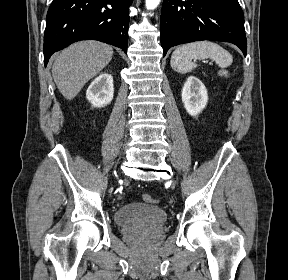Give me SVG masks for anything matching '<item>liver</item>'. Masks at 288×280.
<instances>
[{
	"instance_id": "6515ba94",
	"label": "liver",
	"mask_w": 288,
	"mask_h": 280,
	"mask_svg": "<svg viewBox=\"0 0 288 280\" xmlns=\"http://www.w3.org/2000/svg\"><path fill=\"white\" fill-rule=\"evenodd\" d=\"M113 49L98 41H82L64 49L55 59L52 76L60 93L68 100L111 61Z\"/></svg>"
}]
</instances>
